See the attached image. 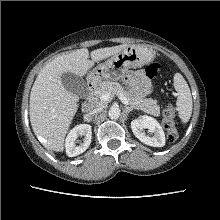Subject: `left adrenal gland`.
Listing matches in <instances>:
<instances>
[{"label": "left adrenal gland", "instance_id": "1", "mask_svg": "<svg viewBox=\"0 0 220 220\" xmlns=\"http://www.w3.org/2000/svg\"><path fill=\"white\" fill-rule=\"evenodd\" d=\"M126 108V113H130L131 111H133L134 109L132 107H125Z\"/></svg>", "mask_w": 220, "mask_h": 220}]
</instances>
